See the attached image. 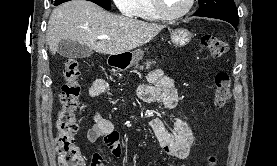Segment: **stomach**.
Here are the masks:
<instances>
[{
  "instance_id": "0dacf381",
  "label": "stomach",
  "mask_w": 277,
  "mask_h": 166,
  "mask_svg": "<svg viewBox=\"0 0 277 166\" xmlns=\"http://www.w3.org/2000/svg\"><path fill=\"white\" fill-rule=\"evenodd\" d=\"M171 42L175 46H185L189 43L192 38V33L187 29H176L171 32L170 35ZM110 56V62L112 65L119 68H129L135 64H137L144 55V51L141 49H137L133 52H125L121 54H115Z\"/></svg>"
}]
</instances>
